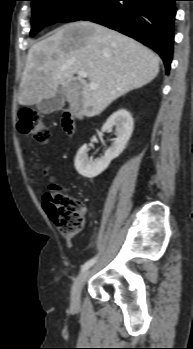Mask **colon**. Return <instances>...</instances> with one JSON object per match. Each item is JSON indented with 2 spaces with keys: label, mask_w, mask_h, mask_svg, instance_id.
<instances>
[{
  "label": "colon",
  "mask_w": 193,
  "mask_h": 349,
  "mask_svg": "<svg viewBox=\"0 0 193 349\" xmlns=\"http://www.w3.org/2000/svg\"><path fill=\"white\" fill-rule=\"evenodd\" d=\"M17 129L23 136L32 137L38 143L49 140V130L41 115L30 108H21L18 112ZM44 207L64 235H75L84 225L82 204L67 195L57 184L51 183L43 196Z\"/></svg>",
  "instance_id": "colon-1"
}]
</instances>
